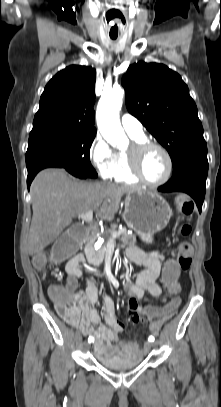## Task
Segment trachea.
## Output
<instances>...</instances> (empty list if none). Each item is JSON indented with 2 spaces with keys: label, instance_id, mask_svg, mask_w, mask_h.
Masks as SVG:
<instances>
[{
  "label": "trachea",
  "instance_id": "1",
  "mask_svg": "<svg viewBox=\"0 0 221 407\" xmlns=\"http://www.w3.org/2000/svg\"><path fill=\"white\" fill-rule=\"evenodd\" d=\"M117 37H111V39L115 40Z\"/></svg>",
  "mask_w": 221,
  "mask_h": 407
}]
</instances>
